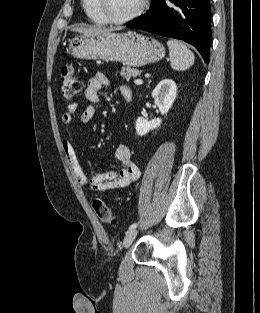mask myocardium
<instances>
[{"label": "myocardium", "instance_id": "myocardium-1", "mask_svg": "<svg viewBox=\"0 0 260 313\" xmlns=\"http://www.w3.org/2000/svg\"><path fill=\"white\" fill-rule=\"evenodd\" d=\"M146 5H147V0H140L138 7L132 13H130L129 15L125 17L117 18V17L112 16L108 12L107 0H96V6H97L99 13L104 18V20L110 24H125L130 21H133L134 19H136L142 14Z\"/></svg>", "mask_w": 260, "mask_h": 313}]
</instances>
